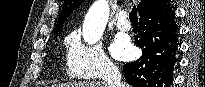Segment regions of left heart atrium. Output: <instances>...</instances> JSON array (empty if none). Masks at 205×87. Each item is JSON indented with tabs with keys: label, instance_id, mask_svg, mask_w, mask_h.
Listing matches in <instances>:
<instances>
[{
	"label": "left heart atrium",
	"instance_id": "39dd6f15",
	"mask_svg": "<svg viewBox=\"0 0 205 87\" xmlns=\"http://www.w3.org/2000/svg\"><path fill=\"white\" fill-rule=\"evenodd\" d=\"M132 52V46L125 38H117L112 45V53L117 59H128L129 57H131Z\"/></svg>",
	"mask_w": 205,
	"mask_h": 87
}]
</instances>
